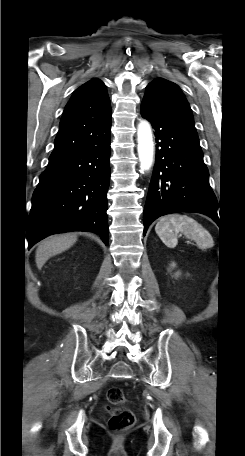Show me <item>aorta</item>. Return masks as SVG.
Segmentation results:
<instances>
[{"label":"aorta","instance_id":"obj_1","mask_svg":"<svg viewBox=\"0 0 245 456\" xmlns=\"http://www.w3.org/2000/svg\"><path fill=\"white\" fill-rule=\"evenodd\" d=\"M138 156L140 171L144 172L151 168L154 155V143L152 131L147 121H141L137 129Z\"/></svg>","mask_w":245,"mask_h":456}]
</instances>
